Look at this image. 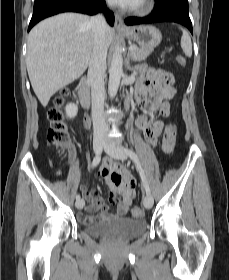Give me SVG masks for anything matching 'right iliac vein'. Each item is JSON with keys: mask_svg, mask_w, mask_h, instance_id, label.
Returning <instances> with one entry per match:
<instances>
[{"mask_svg": "<svg viewBox=\"0 0 229 280\" xmlns=\"http://www.w3.org/2000/svg\"><path fill=\"white\" fill-rule=\"evenodd\" d=\"M103 146H104V140H102V139L94 140L93 149L96 154L101 153ZM84 205H85V201L83 199L76 201V204H75L77 209H82L84 207Z\"/></svg>", "mask_w": 229, "mask_h": 280, "instance_id": "right-iliac-vein-1", "label": "right iliac vein"}]
</instances>
